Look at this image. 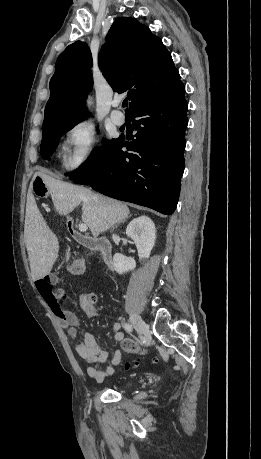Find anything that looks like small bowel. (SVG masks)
Returning a JSON list of instances; mask_svg holds the SVG:
<instances>
[{
  "mask_svg": "<svg viewBox=\"0 0 261 459\" xmlns=\"http://www.w3.org/2000/svg\"><path fill=\"white\" fill-rule=\"evenodd\" d=\"M60 282V278L55 274H47L35 281V286L50 308L54 316L57 318L61 327L67 329L69 335L75 339L74 348L79 357L87 364L105 363L108 360V353L96 341L94 336L80 329V321L78 317L66 310L60 299V294L53 289V286ZM80 307L84 314L88 317L96 316L97 312L93 306L85 305L80 301ZM113 339L120 341L124 334L121 330V324L114 322L112 325ZM121 351L116 350L111 359L110 365L106 370H100L94 366H88V376L96 382H102L110 376L117 365L121 361Z\"/></svg>",
  "mask_w": 261,
  "mask_h": 459,
  "instance_id": "small-bowel-1",
  "label": "small bowel"
}]
</instances>
